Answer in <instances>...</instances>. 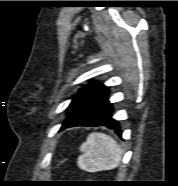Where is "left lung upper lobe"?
Segmentation results:
<instances>
[{
	"mask_svg": "<svg viewBox=\"0 0 178 186\" xmlns=\"http://www.w3.org/2000/svg\"><path fill=\"white\" fill-rule=\"evenodd\" d=\"M109 95V87H106L102 83L95 82L90 83L74 95L72 102L68 107V118L63 123L61 129L72 122L76 117L95 105L106 100Z\"/></svg>",
	"mask_w": 178,
	"mask_h": 186,
	"instance_id": "obj_1",
	"label": "left lung upper lobe"
}]
</instances>
